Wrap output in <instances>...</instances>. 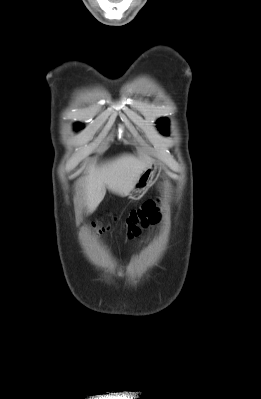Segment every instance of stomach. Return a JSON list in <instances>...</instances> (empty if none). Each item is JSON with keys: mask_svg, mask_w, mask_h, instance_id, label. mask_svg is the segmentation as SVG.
<instances>
[{"mask_svg": "<svg viewBox=\"0 0 261 399\" xmlns=\"http://www.w3.org/2000/svg\"><path fill=\"white\" fill-rule=\"evenodd\" d=\"M155 169H156L155 165L151 164L143 171L137 183L135 184L131 194L141 193L152 183L155 175Z\"/></svg>", "mask_w": 261, "mask_h": 399, "instance_id": "stomach-1", "label": "stomach"}]
</instances>
